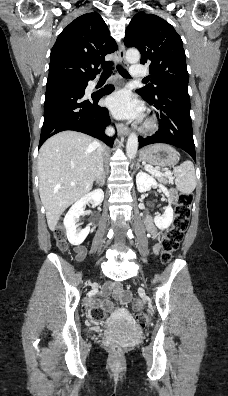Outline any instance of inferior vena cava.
<instances>
[{"label":"inferior vena cava","instance_id":"1","mask_svg":"<svg viewBox=\"0 0 228 396\" xmlns=\"http://www.w3.org/2000/svg\"><path fill=\"white\" fill-rule=\"evenodd\" d=\"M106 134L108 136H112L114 134V129L112 127H107L105 130ZM108 148L104 144H100L98 142V165H97V170H96V181L97 183H101L102 177H103V154L107 152Z\"/></svg>","mask_w":228,"mask_h":396}]
</instances>
